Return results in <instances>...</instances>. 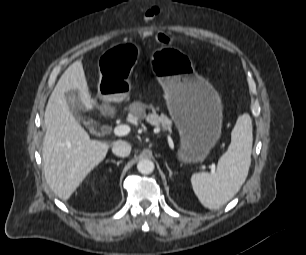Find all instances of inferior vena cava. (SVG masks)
I'll list each match as a JSON object with an SVG mask.
<instances>
[{"label":"inferior vena cava","mask_w":306,"mask_h":255,"mask_svg":"<svg viewBox=\"0 0 306 255\" xmlns=\"http://www.w3.org/2000/svg\"><path fill=\"white\" fill-rule=\"evenodd\" d=\"M112 152L119 157H127L131 152V145L126 141H116L112 147Z\"/></svg>","instance_id":"602c4592"}]
</instances>
